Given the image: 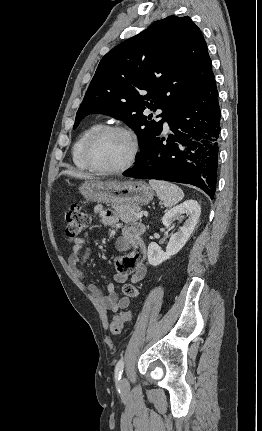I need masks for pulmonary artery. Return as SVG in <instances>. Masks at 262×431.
<instances>
[{
  "label": "pulmonary artery",
  "instance_id": "1",
  "mask_svg": "<svg viewBox=\"0 0 262 431\" xmlns=\"http://www.w3.org/2000/svg\"><path fill=\"white\" fill-rule=\"evenodd\" d=\"M164 126H165L166 129L168 128L167 122L164 123Z\"/></svg>",
  "mask_w": 262,
  "mask_h": 431
}]
</instances>
